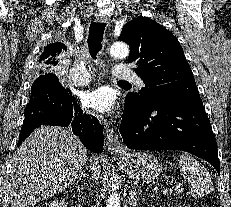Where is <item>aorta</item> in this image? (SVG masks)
Segmentation results:
<instances>
[{"mask_svg":"<svg viewBox=\"0 0 231 207\" xmlns=\"http://www.w3.org/2000/svg\"><path fill=\"white\" fill-rule=\"evenodd\" d=\"M108 53L113 58L123 59L128 57L129 47L124 42H116L110 46ZM106 207H121L120 197L116 192L110 193Z\"/></svg>","mask_w":231,"mask_h":207,"instance_id":"1","label":"aorta"}]
</instances>
